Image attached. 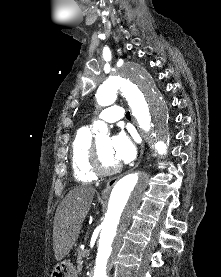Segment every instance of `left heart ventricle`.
I'll return each mask as SVG.
<instances>
[{
    "mask_svg": "<svg viewBox=\"0 0 221 277\" xmlns=\"http://www.w3.org/2000/svg\"><path fill=\"white\" fill-rule=\"evenodd\" d=\"M101 161L104 167L111 168L118 164L112 155L110 148V139L105 137L97 141Z\"/></svg>",
    "mask_w": 221,
    "mask_h": 277,
    "instance_id": "obj_1",
    "label": "left heart ventricle"
}]
</instances>
